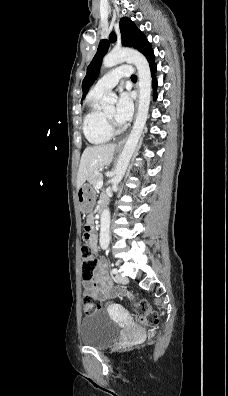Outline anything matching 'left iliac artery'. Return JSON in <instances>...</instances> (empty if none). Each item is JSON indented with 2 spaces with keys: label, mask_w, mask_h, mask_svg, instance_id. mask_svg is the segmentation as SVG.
Listing matches in <instances>:
<instances>
[{
  "label": "left iliac artery",
  "mask_w": 228,
  "mask_h": 396,
  "mask_svg": "<svg viewBox=\"0 0 228 396\" xmlns=\"http://www.w3.org/2000/svg\"><path fill=\"white\" fill-rule=\"evenodd\" d=\"M111 273H112V274H117V269H116V268H113V269L111 270Z\"/></svg>",
  "instance_id": "left-iliac-artery-1"
}]
</instances>
